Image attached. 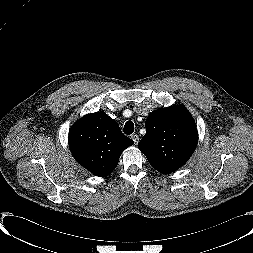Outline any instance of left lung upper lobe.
<instances>
[{"label": "left lung upper lobe", "instance_id": "obj_1", "mask_svg": "<svg viewBox=\"0 0 253 253\" xmlns=\"http://www.w3.org/2000/svg\"><path fill=\"white\" fill-rule=\"evenodd\" d=\"M145 127L146 134L138 148L151 166L163 174L183 166L196 148L198 133L194 119L181 105L153 111Z\"/></svg>", "mask_w": 253, "mask_h": 253}]
</instances>
